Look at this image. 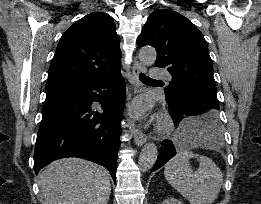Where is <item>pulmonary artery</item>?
Listing matches in <instances>:
<instances>
[{"mask_svg": "<svg viewBox=\"0 0 261 204\" xmlns=\"http://www.w3.org/2000/svg\"><path fill=\"white\" fill-rule=\"evenodd\" d=\"M151 77L154 79H166L169 80L170 79V75L167 71H165L164 69L158 68V67H154L151 69Z\"/></svg>", "mask_w": 261, "mask_h": 204, "instance_id": "e3ab8cb5", "label": "pulmonary artery"}]
</instances>
